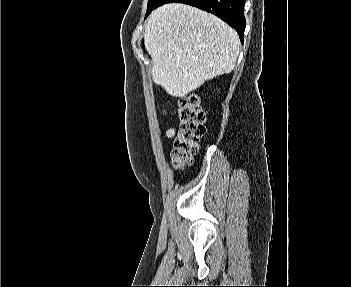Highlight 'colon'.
<instances>
[{"mask_svg": "<svg viewBox=\"0 0 351 287\" xmlns=\"http://www.w3.org/2000/svg\"><path fill=\"white\" fill-rule=\"evenodd\" d=\"M179 130L172 150L173 166L181 170L190 164L199 140L205 133V115L200 100L190 94L179 101Z\"/></svg>", "mask_w": 351, "mask_h": 287, "instance_id": "colon-1", "label": "colon"}]
</instances>
